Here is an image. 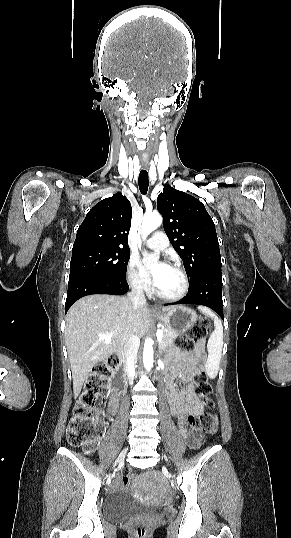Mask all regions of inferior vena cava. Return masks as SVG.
I'll return each mask as SVG.
<instances>
[{"mask_svg": "<svg viewBox=\"0 0 291 538\" xmlns=\"http://www.w3.org/2000/svg\"><path fill=\"white\" fill-rule=\"evenodd\" d=\"M128 298L133 303L134 311L138 307L146 305V298L143 291L142 282L139 280L133 282L132 290L128 294ZM140 345V339L137 334L132 332L129 334L124 345V354L126 358V371L129 381L132 383L135 376V368L137 363V353Z\"/></svg>", "mask_w": 291, "mask_h": 538, "instance_id": "1", "label": "inferior vena cava"}]
</instances>
